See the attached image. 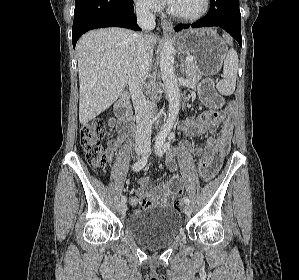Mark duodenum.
<instances>
[{
	"mask_svg": "<svg viewBox=\"0 0 299 280\" xmlns=\"http://www.w3.org/2000/svg\"><path fill=\"white\" fill-rule=\"evenodd\" d=\"M117 115L119 118V129L122 132H127L131 129V107L130 99L127 93L123 94L117 105H116Z\"/></svg>",
	"mask_w": 299,
	"mask_h": 280,
	"instance_id": "1",
	"label": "duodenum"
}]
</instances>
